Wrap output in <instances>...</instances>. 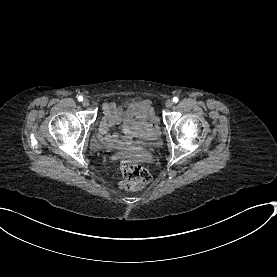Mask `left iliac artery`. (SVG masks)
Returning a JSON list of instances; mask_svg holds the SVG:
<instances>
[{
  "mask_svg": "<svg viewBox=\"0 0 277 277\" xmlns=\"http://www.w3.org/2000/svg\"><path fill=\"white\" fill-rule=\"evenodd\" d=\"M178 100H179L178 97H174V98H173V102H175V103H177Z\"/></svg>",
  "mask_w": 277,
  "mask_h": 277,
  "instance_id": "obj_1",
  "label": "left iliac artery"
}]
</instances>
